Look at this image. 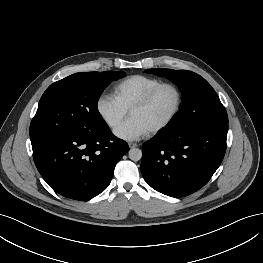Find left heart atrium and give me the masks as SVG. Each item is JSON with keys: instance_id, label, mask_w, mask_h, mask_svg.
Listing matches in <instances>:
<instances>
[{"instance_id": "obj_1", "label": "left heart atrium", "mask_w": 263, "mask_h": 263, "mask_svg": "<svg viewBox=\"0 0 263 263\" xmlns=\"http://www.w3.org/2000/svg\"><path fill=\"white\" fill-rule=\"evenodd\" d=\"M150 130L138 118L130 117L114 131L123 140L133 141L147 135Z\"/></svg>"}]
</instances>
